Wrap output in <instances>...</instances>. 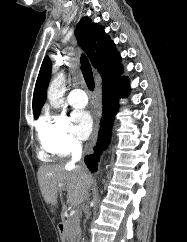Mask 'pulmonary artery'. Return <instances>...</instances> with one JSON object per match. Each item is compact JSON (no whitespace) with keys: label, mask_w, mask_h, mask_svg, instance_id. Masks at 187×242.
I'll return each mask as SVG.
<instances>
[{"label":"pulmonary artery","mask_w":187,"mask_h":242,"mask_svg":"<svg viewBox=\"0 0 187 242\" xmlns=\"http://www.w3.org/2000/svg\"><path fill=\"white\" fill-rule=\"evenodd\" d=\"M87 95L82 89H73L68 95V102L76 108H81L87 104Z\"/></svg>","instance_id":"1"}]
</instances>
